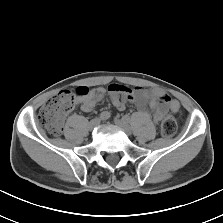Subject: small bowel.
Returning <instances> with one entry per match:
<instances>
[{"mask_svg":"<svg viewBox=\"0 0 223 223\" xmlns=\"http://www.w3.org/2000/svg\"><path fill=\"white\" fill-rule=\"evenodd\" d=\"M107 95L117 110H124L126 101L136 103L141 108L148 103L149 108L154 113L156 123L162 119L168 110L177 112L180 108L179 103L163 91L144 87L130 88L115 83L109 85L107 90L102 87L92 89L86 96L79 97L77 103L82 111L91 112L96 104Z\"/></svg>","mask_w":223,"mask_h":223,"instance_id":"small-bowel-1","label":"small bowel"}]
</instances>
